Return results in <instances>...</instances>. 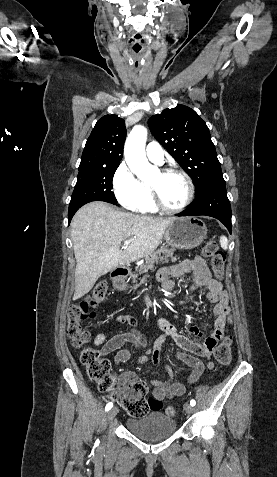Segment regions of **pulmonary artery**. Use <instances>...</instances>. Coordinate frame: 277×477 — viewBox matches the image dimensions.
Instances as JSON below:
<instances>
[{"label": "pulmonary artery", "instance_id": "pulmonary-artery-1", "mask_svg": "<svg viewBox=\"0 0 277 477\" xmlns=\"http://www.w3.org/2000/svg\"><path fill=\"white\" fill-rule=\"evenodd\" d=\"M146 156L147 158L156 164H161L163 162V150L157 142H150L146 147Z\"/></svg>", "mask_w": 277, "mask_h": 477}]
</instances>
